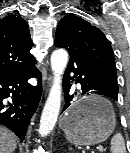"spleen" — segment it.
<instances>
[{
	"instance_id": "1",
	"label": "spleen",
	"mask_w": 130,
	"mask_h": 153,
	"mask_svg": "<svg viewBox=\"0 0 130 153\" xmlns=\"http://www.w3.org/2000/svg\"><path fill=\"white\" fill-rule=\"evenodd\" d=\"M111 153H126L124 138L116 133L111 139Z\"/></svg>"
}]
</instances>
